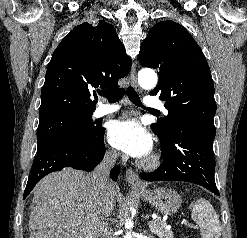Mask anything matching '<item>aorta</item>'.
I'll return each instance as SVG.
<instances>
[{
    "mask_svg": "<svg viewBox=\"0 0 247 238\" xmlns=\"http://www.w3.org/2000/svg\"><path fill=\"white\" fill-rule=\"evenodd\" d=\"M157 81V75L151 69H142L138 74V82L144 89H153L156 86ZM125 225L127 227H132L133 222L131 220H127ZM124 238H132L131 232H127Z\"/></svg>",
    "mask_w": 247,
    "mask_h": 238,
    "instance_id": "1",
    "label": "aorta"
}]
</instances>
